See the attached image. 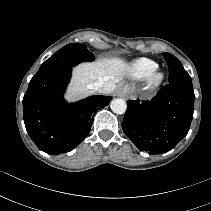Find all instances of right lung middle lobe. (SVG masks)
<instances>
[{"instance_id":"obj_1","label":"right lung middle lobe","mask_w":211,"mask_h":211,"mask_svg":"<svg viewBox=\"0 0 211 211\" xmlns=\"http://www.w3.org/2000/svg\"><path fill=\"white\" fill-rule=\"evenodd\" d=\"M94 55L89 52L82 44H68L58 50L52 57L47 59L40 67L37 73L44 71L72 67L82 61H92Z\"/></svg>"}]
</instances>
